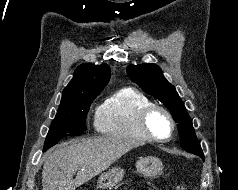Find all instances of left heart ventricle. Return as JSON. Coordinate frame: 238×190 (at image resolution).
<instances>
[{
    "label": "left heart ventricle",
    "instance_id": "left-heart-ventricle-1",
    "mask_svg": "<svg viewBox=\"0 0 238 190\" xmlns=\"http://www.w3.org/2000/svg\"><path fill=\"white\" fill-rule=\"evenodd\" d=\"M150 128L159 136H166L169 132V121L160 112H155L150 118Z\"/></svg>",
    "mask_w": 238,
    "mask_h": 190
}]
</instances>
